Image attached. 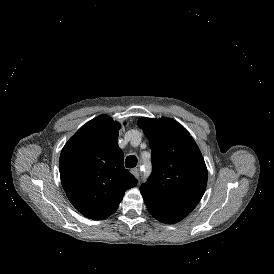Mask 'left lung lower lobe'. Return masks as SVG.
Wrapping results in <instances>:
<instances>
[{"instance_id": "1", "label": "left lung lower lobe", "mask_w": 274, "mask_h": 274, "mask_svg": "<svg viewBox=\"0 0 274 274\" xmlns=\"http://www.w3.org/2000/svg\"><path fill=\"white\" fill-rule=\"evenodd\" d=\"M143 199L150 214L163 223H176L189 214L184 211L168 207L148 196H143Z\"/></svg>"}]
</instances>
